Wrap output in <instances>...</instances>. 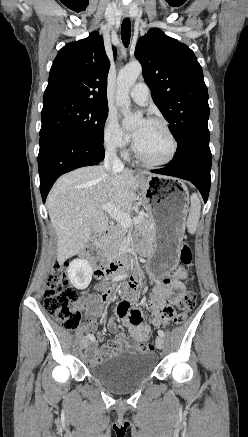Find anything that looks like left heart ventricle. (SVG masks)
Listing matches in <instances>:
<instances>
[{
  "label": "left heart ventricle",
  "mask_w": 248,
  "mask_h": 437,
  "mask_svg": "<svg viewBox=\"0 0 248 437\" xmlns=\"http://www.w3.org/2000/svg\"><path fill=\"white\" fill-rule=\"evenodd\" d=\"M140 129V134L135 140L140 153L151 161H161L169 155L172 144L165 130L155 123L140 121L135 130Z\"/></svg>",
  "instance_id": "1"
}]
</instances>
